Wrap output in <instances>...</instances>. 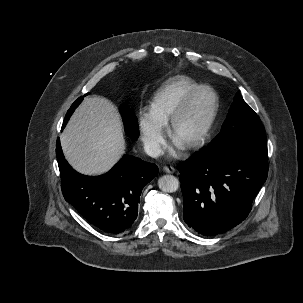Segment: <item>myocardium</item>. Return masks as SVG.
I'll return each mask as SVG.
<instances>
[{"instance_id": "1", "label": "myocardium", "mask_w": 303, "mask_h": 303, "mask_svg": "<svg viewBox=\"0 0 303 303\" xmlns=\"http://www.w3.org/2000/svg\"><path fill=\"white\" fill-rule=\"evenodd\" d=\"M208 90L210 91L214 96V106L212 109V112L207 119L205 125L203 128L199 131V133L190 140L186 146L190 149L197 148L201 146L206 138L208 137L209 133L211 132L214 123L217 119L219 110H220V96L218 92L209 85H200L196 89H194L185 99L184 101L179 105V107L175 110V112L172 114L170 120H169V131L170 133L175 136L176 129L178 127V124L180 120L183 118V116L186 114V112L191 107L193 101L195 98L203 91Z\"/></svg>"}]
</instances>
